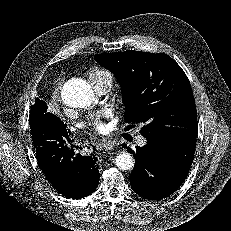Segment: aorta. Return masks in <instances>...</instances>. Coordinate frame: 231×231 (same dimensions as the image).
<instances>
[{
  "mask_svg": "<svg viewBox=\"0 0 231 231\" xmlns=\"http://www.w3.org/2000/svg\"><path fill=\"white\" fill-rule=\"evenodd\" d=\"M62 101L72 108H85L90 106L94 98V92L88 82L74 78L68 80L61 91ZM116 166L123 171L134 167V157L128 152H121L115 158Z\"/></svg>",
  "mask_w": 231,
  "mask_h": 231,
  "instance_id": "762f6f07",
  "label": "aorta"
}]
</instances>
